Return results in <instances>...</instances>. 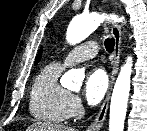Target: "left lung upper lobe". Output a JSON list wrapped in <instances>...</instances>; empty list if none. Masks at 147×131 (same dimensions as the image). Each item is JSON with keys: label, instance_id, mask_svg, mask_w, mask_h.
<instances>
[{"label": "left lung upper lobe", "instance_id": "5c2ea615", "mask_svg": "<svg viewBox=\"0 0 147 131\" xmlns=\"http://www.w3.org/2000/svg\"><path fill=\"white\" fill-rule=\"evenodd\" d=\"M41 56H42V48L40 49L38 55H37V58L35 60V65L39 62V60L41 59Z\"/></svg>", "mask_w": 147, "mask_h": 131}]
</instances>
